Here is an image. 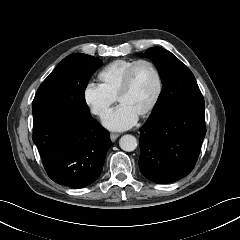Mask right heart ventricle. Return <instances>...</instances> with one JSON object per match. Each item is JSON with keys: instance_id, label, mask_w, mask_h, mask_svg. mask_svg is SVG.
Masks as SVG:
<instances>
[{"instance_id": "right-heart-ventricle-1", "label": "right heart ventricle", "mask_w": 240, "mask_h": 240, "mask_svg": "<svg viewBox=\"0 0 240 240\" xmlns=\"http://www.w3.org/2000/svg\"><path fill=\"white\" fill-rule=\"evenodd\" d=\"M135 60L117 59L104 66L98 73L99 85L111 97L117 98L124 74Z\"/></svg>"}]
</instances>
